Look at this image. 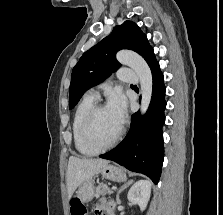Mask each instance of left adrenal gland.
I'll list each match as a JSON object with an SVG mask.
<instances>
[{"mask_svg":"<svg viewBox=\"0 0 223 215\" xmlns=\"http://www.w3.org/2000/svg\"><path fill=\"white\" fill-rule=\"evenodd\" d=\"M131 183H133V179H129V181H125V183H123V185H121L120 189H118V191H117L116 203H121V199H119V195H120L121 191H123V189H126V187H129V185H131Z\"/></svg>","mask_w":223,"mask_h":215,"instance_id":"left-adrenal-gland-1","label":"left adrenal gland"}]
</instances>
